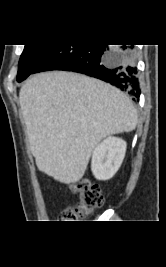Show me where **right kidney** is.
Returning a JSON list of instances; mask_svg holds the SVG:
<instances>
[{"label":"right kidney","mask_w":166,"mask_h":267,"mask_svg":"<svg viewBox=\"0 0 166 267\" xmlns=\"http://www.w3.org/2000/svg\"><path fill=\"white\" fill-rule=\"evenodd\" d=\"M126 142L120 138L108 137L93 151L91 169L99 180H108L120 168L126 152Z\"/></svg>","instance_id":"right-kidney-1"}]
</instances>
